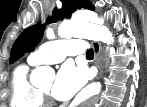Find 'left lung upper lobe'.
I'll use <instances>...</instances> for the list:
<instances>
[{"mask_svg":"<svg viewBox=\"0 0 147 107\" xmlns=\"http://www.w3.org/2000/svg\"><path fill=\"white\" fill-rule=\"evenodd\" d=\"M62 8L54 9L52 12V18L48 19L47 23H54L58 19L69 18L71 14L75 12L77 9H89L93 10L94 7L92 3L88 0H61ZM46 25L38 23L36 25L30 26L25 29L20 36L17 38L15 43L12 46L11 55H10V63L15 62L21 56L24 55L25 52H30L34 50L35 46H37L42 38L43 32L45 30Z\"/></svg>","mask_w":147,"mask_h":107,"instance_id":"5c2ea615","label":"left lung upper lobe"}]
</instances>
